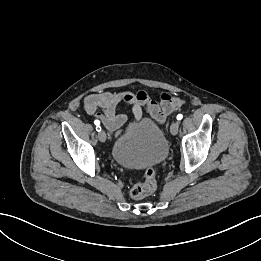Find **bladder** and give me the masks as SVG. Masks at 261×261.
<instances>
[{
	"label": "bladder",
	"instance_id": "obj_1",
	"mask_svg": "<svg viewBox=\"0 0 261 261\" xmlns=\"http://www.w3.org/2000/svg\"><path fill=\"white\" fill-rule=\"evenodd\" d=\"M168 150L163 130L152 120L143 119L114 141L111 156L122 167L141 169L163 162Z\"/></svg>",
	"mask_w": 261,
	"mask_h": 261
}]
</instances>
